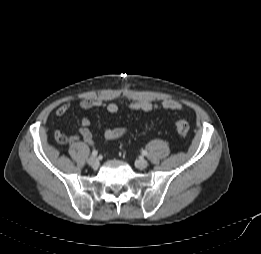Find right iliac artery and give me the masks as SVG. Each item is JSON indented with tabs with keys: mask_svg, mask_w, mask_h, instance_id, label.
<instances>
[{
	"mask_svg": "<svg viewBox=\"0 0 261 254\" xmlns=\"http://www.w3.org/2000/svg\"><path fill=\"white\" fill-rule=\"evenodd\" d=\"M97 154H98L97 150H93V151H92V155H93V156H97Z\"/></svg>",
	"mask_w": 261,
	"mask_h": 254,
	"instance_id": "right-iliac-artery-1",
	"label": "right iliac artery"
}]
</instances>
